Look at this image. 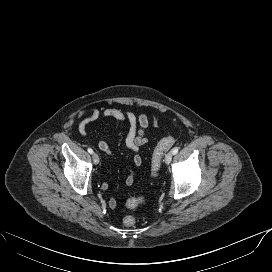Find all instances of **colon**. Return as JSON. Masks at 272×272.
I'll list each match as a JSON object with an SVG mask.
<instances>
[{"instance_id": "obj_1", "label": "colon", "mask_w": 272, "mask_h": 272, "mask_svg": "<svg viewBox=\"0 0 272 272\" xmlns=\"http://www.w3.org/2000/svg\"><path fill=\"white\" fill-rule=\"evenodd\" d=\"M176 142V139L172 136L162 138L158 141L153 149L151 157V175L156 177L161 168L162 158L165 152L172 147ZM144 197H133L127 200L126 207L128 209H134L145 202ZM136 223V217L134 215H126L123 218V224L126 227L134 226Z\"/></svg>"}]
</instances>
